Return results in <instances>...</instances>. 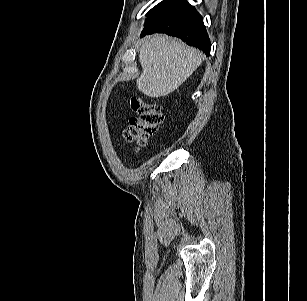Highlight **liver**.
I'll use <instances>...</instances> for the list:
<instances>
[{
	"mask_svg": "<svg viewBox=\"0 0 307 301\" xmlns=\"http://www.w3.org/2000/svg\"><path fill=\"white\" fill-rule=\"evenodd\" d=\"M203 54L178 39L152 35L143 39L139 49L142 73L137 88L158 98L177 89L201 64Z\"/></svg>",
	"mask_w": 307,
	"mask_h": 301,
	"instance_id": "1",
	"label": "liver"
}]
</instances>
